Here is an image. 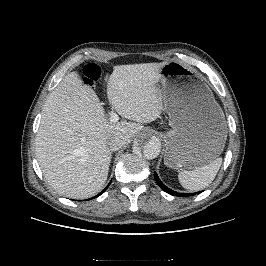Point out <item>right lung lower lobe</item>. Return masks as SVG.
<instances>
[{
  "label": "right lung lower lobe",
  "instance_id": "obj_1",
  "mask_svg": "<svg viewBox=\"0 0 266 266\" xmlns=\"http://www.w3.org/2000/svg\"><path fill=\"white\" fill-rule=\"evenodd\" d=\"M108 186H109V185H108ZM108 186H107V187H108ZM107 187H106L103 191H101L98 195H96L94 198H96V197L100 196L102 193H104V192L106 191ZM91 199H93V198H91Z\"/></svg>",
  "mask_w": 266,
  "mask_h": 266
}]
</instances>
